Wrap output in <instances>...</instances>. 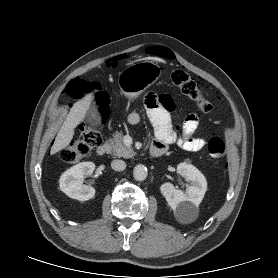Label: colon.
Masks as SVG:
<instances>
[{
    "label": "colon",
    "mask_w": 278,
    "mask_h": 278,
    "mask_svg": "<svg viewBox=\"0 0 278 278\" xmlns=\"http://www.w3.org/2000/svg\"><path fill=\"white\" fill-rule=\"evenodd\" d=\"M170 77L173 85L190 97L201 112L208 113L212 110L211 101L188 73L175 69L171 72ZM92 92H95L96 100L101 107V118L104 120L105 97L95 83L84 79H74L69 82L66 88L67 95L74 99H81ZM100 142L101 137L98 128L93 124L86 123L80 132L79 138L61 151V158L68 163L78 162L87 157ZM208 152L216 163L222 162L226 155L225 143L218 137L211 138L208 142Z\"/></svg>",
    "instance_id": "1"
}]
</instances>
